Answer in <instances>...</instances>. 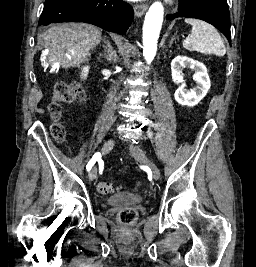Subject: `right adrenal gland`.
Here are the masks:
<instances>
[{
  "label": "right adrenal gland",
  "instance_id": "1",
  "mask_svg": "<svg viewBox=\"0 0 256 267\" xmlns=\"http://www.w3.org/2000/svg\"><path fill=\"white\" fill-rule=\"evenodd\" d=\"M104 44H106L107 48H108V52H112L111 50V44H108V40H103ZM103 56V54H102Z\"/></svg>",
  "mask_w": 256,
  "mask_h": 267
}]
</instances>
